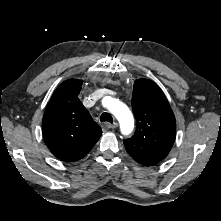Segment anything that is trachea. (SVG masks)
I'll list each match as a JSON object with an SVG mask.
<instances>
[{"label": "trachea", "mask_w": 221, "mask_h": 221, "mask_svg": "<svg viewBox=\"0 0 221 221\" xmlns=\"http://www.w3.org/2000/svg\"><path fill=\"white\" fill-rule=\"evenodd\" d=\"M100 120L101 122H109V123H113V118L112 116L109 114V113H103L101 116H100Z\"/></svg>", "instance_id": "3493384b"}]
</instances>
